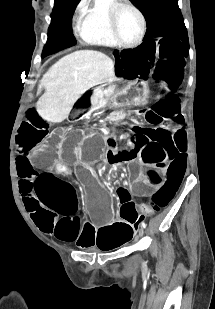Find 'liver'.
Wrapping results in <instances>:
<instances>
[{
  "mask_svg": "<svg viewBox=\"0 0 215 309\" xmlns=\"http://www.w3.org/2000/svg\"><path fill=\"white\" fill-rule=\"evenodd\" d=\"M114 60L99 50H75L50 66L40 80L46 90L37 110L50 122L67 118L74 102L91 86L109 80Z\"/></svg>",
  "mask_w": 215,
  "mask_h": 309,
  "instance_id": "6515ba94",
  "label": "liver"
}]
</instances>
